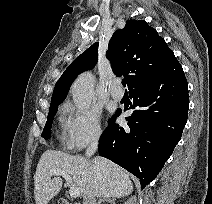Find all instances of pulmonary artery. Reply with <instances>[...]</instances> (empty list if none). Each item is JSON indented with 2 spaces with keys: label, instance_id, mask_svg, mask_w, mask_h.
<instances>
[{
  "label": "pulmonary artery",
  "instance_id": "e3ab8cb5",
  "mask_svg": "<svg viewBox=\"0 0 212 204\" xmlns=\"http://www.w3.org/2000/svg\"><path fill=\"white\" fill-rule=\"evenodd\" d=\"M111 96L114 100L116 101H120L122 100L123 96H124V92L121 89V82L119 80H116L113 84H112V88H111Z\"/></svg>",
  "mask_w": 212,
  "mask_h": 204
}]
</instances>
